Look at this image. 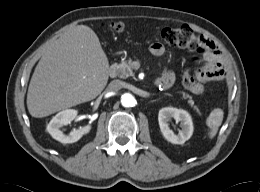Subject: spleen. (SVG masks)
I'll list each match as a JSON object with an SVG mask.
<instances>
[{
  "instance_id": "3e777b00",
  "label": "spleen",
  "mask_w": 260,
  "mask_h": 192,
  "mask_svg": "<svg viewBox=\"0 0 260 192\" xmlns=\"http://www.w3.org/2000/svg\"><path fill=\"white\" fill-rule=\"evenodd\" d=\"M223 116H224V112L220 108L214 109L208 116L206 120V124L209 128L208 136L210 139H212L216 135L219 127L222 124Z\"/></svg>"
}]
</instances>
